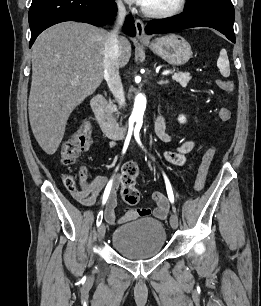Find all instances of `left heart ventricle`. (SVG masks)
I'll return each instance as SVG.
<instances>
[{
    "instance_id": "left-heart-ventricle-1",
    "label": "left heart ventricle",
    "mask_w": 261,
    "mask_h": 306,
    "mask_svg": "<svg viewBox=\"0 0 261 306\" xmlns=\"http://www.w3.org/2000/svg\"><path fill=\"white\" fill-rule=\"evenodd\" d=\"M177 0H148L144 5L151 10H166L172 8Z\"/></svg>"
}]
</instances>
